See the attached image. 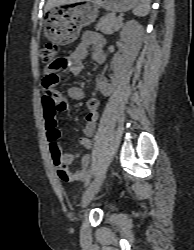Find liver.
<instances>
[{
  "mask_svg": "<svg viewBox=\"0 0 194 250\" xmlns=\"http://www.w3.org/2000/svg\"><path fill=\"white\" fill-rule=\"evenodd\" d=\"M90 0H48L45 10L48 11L50 8L57 6V5H66V4H73L77 2H84Z\"/></svg>",
  "mask_w": 194,
  "mask_h": 250,
  "instance_id": "liver-1",
  "label": "liver"
}]
</instances>
